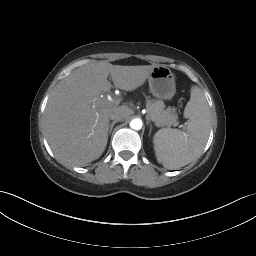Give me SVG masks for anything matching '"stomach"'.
<instances>
[{
  "label": "stomach",
  "instance_id": "0dacf381",
  "mask_svg": "<svg viewBox=\"0 0 256 256\" xmlns=\"http://www.w3.org/2000/svg\"><path fill=\"white\" fill-rule=\"evenodd\" d=\"M148 83L152 95L159 99L170 100L176 92L174 74L165 65H158L152 70Z\"/></svg>",
  "mask_w": 256,
  "mask_h": 256
}]
</instances>
